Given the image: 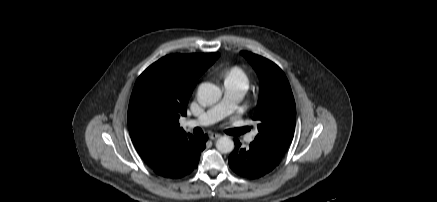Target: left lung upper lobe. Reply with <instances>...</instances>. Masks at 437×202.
<instances>
[{"mask_svg":"<svg viewBox=\"0 0 437 202\" xmlns=\"http://www.w3.org/2000/svg\"><path fill=\"white\" fill-rule=\"evenodd\" d=\"M259 76L261 91L253 120L258 134L252 142L268 157L280 162L294 135L296 107L284 72L272 61L241 51Z\"/></svg>","mask_w":437,"mask_h":202,"instance_id":"obj_1","label":"left lung upper lobe"}]
</instances>
